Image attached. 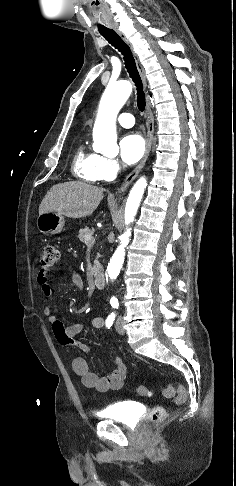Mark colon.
Returning <instances> with one entry per match:
<instances>
[{
  "mask_svg": "<svg viewBox=\"0 0 236 486\" xmlns=\"http://www.w3.org/2000/svg\"><path fill=\"white\" fill-rule=\"evenodd\" d=\"M59 251L53 245H45L40 253L39 265L42 270L48 271L55 266L59 260ZM139 396H149L150 390L143 385L136 387ZM165 398H174L175 403L183 404L187 399L185 387L179 383H170L162 391ZM167 412L162 406H155L151 409L145 423V428L150 429L153 425L162 422L166 418Z\"/></svg>",
  "mask_w": 236,
  "mask_h": 486,
  "instance_id": "colon-1",
  "label": "colon"
}]
</instances>
